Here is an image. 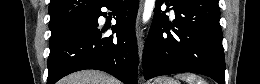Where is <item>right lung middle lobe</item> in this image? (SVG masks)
<instances>
[{"label":"right lung middle lobe","instance_id":"1","mask_svg":"<svg viewBox=\"0 0 260 84\" xmlns=\"http://www.w3.org/2000/svg\"><path fill=\"white\" fill-rule=\"evenodd\" d=\"M92 19H93V14H89L77 18L61 26L50 28L51 37H50L49 47L50 48L54 47L57 43H59L66 35H68L73 30L81 26L90 24Z\"/></svg>","mask_w":260,"mask_h":84}]
</instances>
